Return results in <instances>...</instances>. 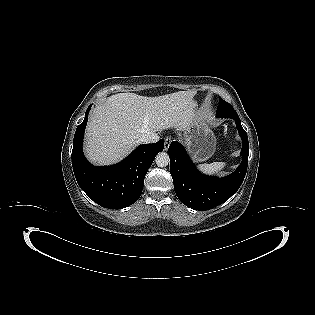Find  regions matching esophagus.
I'll return each instance as SVG.
<instances>
[{
	"label": "esophagus",
	"mask_w": 315,
	"mask_h": 315,
	"mask_svg": "<svg viewBox=\"0 0 315 315\" xmlns=\"http://www.w3.org/2000/svg\"><path fill=\"white\" fill-rule=\"evenodd\" d=\"M171 142H172L171 137H169V136L165 137L164 150H166V151L168 150Z\"/></svg>",
	"instance_id": "obj_1"
}]
</instances>
